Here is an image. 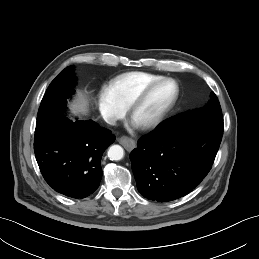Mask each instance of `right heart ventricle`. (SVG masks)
Listing matches in <instances>:
<instances>
[{"label":"right heart ventricle","instance_id":"1","mask_svg":"<svg viewBox=\"0 0 259 259\" xmlns=\"http://www.w3.org/2000/svg\"><path fill=\"white\" fill-rule=\"evenodd\" d=\"M162 77L147 72H127L109 81L105 86V91L119 106L126 110L130 101L143 87Z\"/></svg>","mask_w":259,"mask_h":259}]
</instances>
